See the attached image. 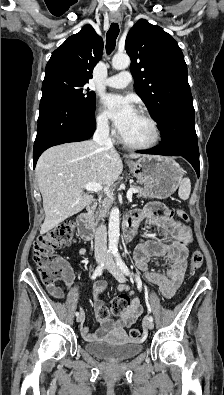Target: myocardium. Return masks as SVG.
Returning a JSON list of instances; mask_svg holds the SVG:
<instances>
[{
    "mask_svg": "<svg viewBox=\"0 0 224 395\" xmlns=\"http://www.w3.org/2000/svg\"><path fill=\"white\" fill-rule=\"evenodd\" d=\"M137 113L139 115H141L144 119H146L149 122V124L151 125L152 131H153L152 139L149 142H146V143H133V142H130V141L126 140L122 136V134L120 132L119 136H118L119 141L123 145H125L126 147H128L130 149H134V150H148V149H151V148L155 147L158 144L159 140H160L161 133H160L159 125H158L157 121L154 119V117L149 112H147L146 110L139 109L137 111Z\"/></svg>",
    "mask_w": 224,
    "mask_h": 395,
    "instance_id": "f54148a6",
    "label": "myocardium"
}]
</instances>
